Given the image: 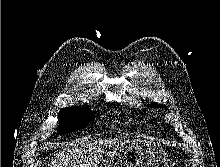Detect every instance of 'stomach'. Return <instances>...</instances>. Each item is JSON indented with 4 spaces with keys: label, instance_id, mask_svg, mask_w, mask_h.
Wrapping results in <instances>:
<instances>
[{
    "label": "stomach",
    "instance_id": "1",
    "mask_svg": "<svg viewBox=\"0 0 220 167\" xmlns=\"http://www.w3.org/2000/svg\"><path fill=\"white\" fill-rule=\"evenodd\" d=\"M110 167H169L163 148L153 142H131L120 147Z\"/></svg>",
    "mask_w": 220,
    "mask_h": 167
}]
</instances>
